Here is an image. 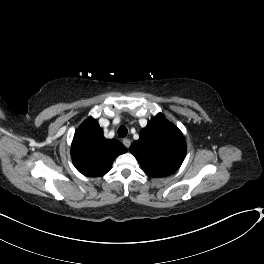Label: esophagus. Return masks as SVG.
<instances>
[{
    "instance_id": "1",
    "label": "esophagus",
    "mask_w": 264,
    "mask_h": 264,
    "mask_svg": "<svg viewBox=\"0 0 264 264\" xmlns=\"http://www.w3.org/2000/svg\"><path fill=\"white\" fill-rule=\"evenodd\" d=\"M123 144L125 147L129 148L131 145V141L129 139H123Z\"/></svg>"
}]
</instances>
